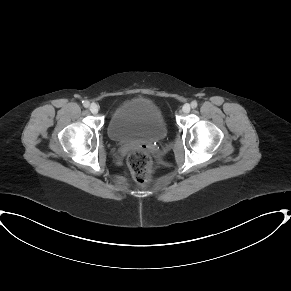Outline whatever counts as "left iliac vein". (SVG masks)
I'll return each mask as SVG.
<instances>
[{"instance_id":"left-iliac-vein-1","label":"left iliac vein","mask_w":291,"mask_h":291,"mask_svg":"<svg viewBox=\"0 0 291 291\" xmlns=\"http://www.w3.org/2000/svg\"><path fill=\"white\" fill-rule=\"evenodd\" d=\"M182 110H183L184 113L187 114V113L190 112L191 107H190V105L188 103H186V104L183 105Z\"/></svg>"}]
</instances>
